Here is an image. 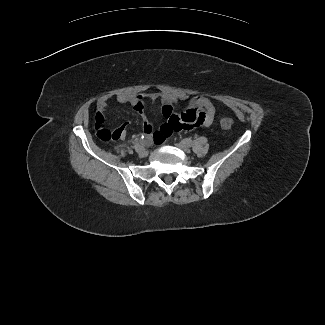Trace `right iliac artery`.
Masks as SVG:
<instances>
[{"label": "right iliac artery", "mask_w": 325, "mask_h": 325, "mask_svg": "<svg viewBox=\"0 0 325 325\" xmlns=\"http://www.w3.org/2000/svg\"><path fill=\"white\" fill-rule=\"evenodd\" d=\"M134 148H135L136 151H139L140 149L143 148V146H141V145H139V144H135V145H134Z\"/></svg>", "instance_id": "right-iliac-artery-1"}]
</instances>
